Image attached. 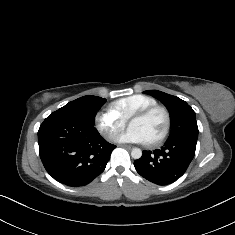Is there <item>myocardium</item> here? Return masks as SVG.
Segmentation results:
<instances>
[{"label":"myocardium","mask_w":235,"mask_h":235,"mask_svg":"<svg viewBox=\"0 0 235 235\" xmlns=\"http://www.w3.org/2000/svg\"><path fill=\"white\" fill-rule=\"evenodd\" d=\"M158 111L162 112L165 115L166 127L160 136H158L157 138H155L154 140H152L150 142H147V146H149V147H153V146H157V145L161 144L170 135L171 130H172V126H173V119H172V115H171L170 111L164 106L154 105V106L148 107L140 112H137L131 118V121L134 119H145V118L149 117L150 115H152L153 113L158 112Z\"/></svg>","instance_id":"myocardium-1"}]
</instances>
